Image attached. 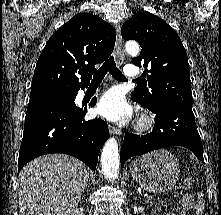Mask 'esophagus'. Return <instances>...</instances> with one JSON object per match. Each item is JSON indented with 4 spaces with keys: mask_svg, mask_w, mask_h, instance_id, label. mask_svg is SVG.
<instances>
[{
    "mask_svg": "<svg viewBox=\"0 0 221 215\" xmlns=\"http://www.w3.org/2000/svg\"><path fill=\"white\" fill-rule=\"evenodd\" d=\"M116 44H115V57H116V62L118 66H121L124 61V55L122 53V37H121V32H120V25H116ZM110 133L112 135H120L121 130L115 126L110 125L109 126Z\"/></svg>",
    "mask_w": 221,
    "mask_h": 215,
    "instance_id": "esophagus-1",
    "label": "esophagus"
}]
</instances>
